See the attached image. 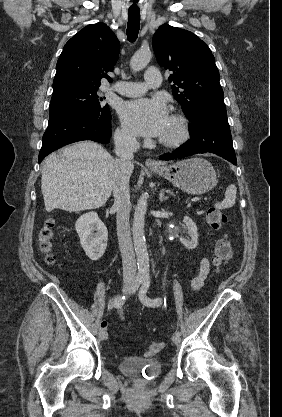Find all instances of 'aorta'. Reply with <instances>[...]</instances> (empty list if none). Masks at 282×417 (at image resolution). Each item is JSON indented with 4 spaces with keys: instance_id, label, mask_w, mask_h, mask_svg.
I'll return each mask as SVG.
<instances>
[{
    "instance_id": "obj_1",
    "label": "aorta",
    "mask_w": 282,
    "mask_h": 417,
    "mask_svg": "<svg viewBox=\"0 0 282 417\" xmlns=\"http://www.w3.org/2000/svg\"><path fill=\"white\" fill-rule=\"evenodd\" d=\"M151 56L152 54L150 48H139V50L133 54L130 60V66L132 70H142V68H145ZM147 198V192L141 194L137 202L132 225L133 245L137 259L138 279H150L149 255L147 251L144 231L145 215L148 206Z\"/></svg>"
}]
</instances>
